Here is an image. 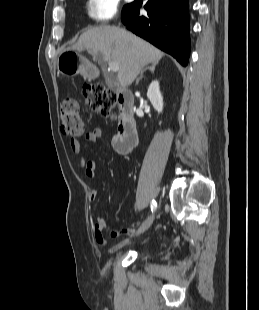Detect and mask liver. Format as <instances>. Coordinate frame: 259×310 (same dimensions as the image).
Segmentation results:
<instances>
[{
	"label": "liver",
	"instance_id": "obj_1",
	"mask_svg": "<svg viewBox=\"0 0 259 310\" xmlns=\"http://www.w3.org/2000/svg\"><path fill=\"white\" fill-rule=\"evenodd\" d=\"M71 49H86L93 55L101 53L104 61L117 62V79L122 87L131 85L143 67L158 63L163 57L162 51L145 40L119 27L110 26L88 29Z\"/></svg>",
	"mask_w": 259,
	"mask_h": 310
}]
</instances>
